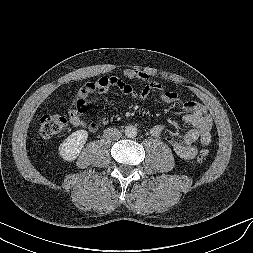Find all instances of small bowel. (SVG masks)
I'll list each match as a JSON object with an SVG mask.
<instances>
[{
    "mask_svg": "<svg viewBox=\"0 0 253 253\" xmlns=\"http://www.w3.org/2000/svg\"><path fill=\"white\" fill-rule=\"evenodd\" d=\"M133 79L144 80L146 85L141 89H136L128 82ZM112 87H117L124 95L141 101L147 100L156 93L166 104L182 103V108L185 111L183 121L190 125L191 129L181 139L173 135L168 137V142L180 158L184 160L195 158L198 152V147L195 145L197 142L201 147L210 144L213 121L206 113L204 106L195 101H182L177 92L167 90L161 82L153 80L148 71L142 69L126 68L123 70L122 77H102L82 86L74 98L73 108L68 112L70 124L95 133L101 124L108 123V117H103L99 122H89L82 119L81 115L87 110L86 99L90 94L94 92L105 93ZM164 130V125L157 124L151 127L150 134L152 137L158 138Z\"/></svg>",
    "mask_w": 253,
    "mask_h": 253,
    "instance_id": "small-bowel-1",
    "label": "small bowel"
}]
</instances>
